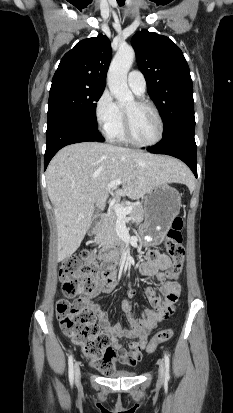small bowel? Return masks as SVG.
Segmentation results:
<instances>
[{"mask_svg": "<svg viewBox=\"0 0 233 413\" xmlns=\"http://www.w3.org/2000/svg\"><path fill=\"white\" fill-rule=\"evenodd\" d=\"M171 264L169 257L157 250L148 251V260L139 266L140 273L144 275H156L161 281L160 290L147 288L146 295L153 309H145L140 318L132 314V305L126 300L123 309L127 315L128 328H123L120 323L112 324L107 312L94 300L101 293H109L116 287V277L112 273L103 278L93 294L86 298L91 310L96 314L100 327L112 343L116 353V359L120 363L136 366L142 359V351L147 342V336L156 325L172 314L174 305L179 302L180 285L174 280L166 278V272ZM134 291L130 288L128 295ZM132 339L129 350L119 342L120 339Z\"/></svg>", "mask_w": 233, "mask_h": 413, "instance_id": "c3829d8e", "label": "small bowel"}]
</instances>
